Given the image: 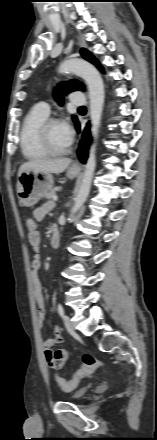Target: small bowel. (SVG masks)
<instances>
[{
	"instance_id": "small-bowel-1",
	"label": "small bowel",
	"mask_w": 157,
	"mask_h": 440,
	"mask_svg": "<svg viewBox=\"0 0 157 440\" xmlns=\"http://www.w3.org/2000/svg\"><path fill=\"white\" fill-rule=\"evenodd\" d=\"M52 208H53V203L51 202L44 203L43 205L37 207L33 214L36 221L43 220L44 217L47 215V213L52 210ZM28 241L34 252L32 259L33 271L31 277L33 282L35 301L38 310L37 324L38 327L42 329L44 327V322H45L46 305L43 294V287L38 273L39 268L41 266V257L39 254V246L41 242L40 234L37 231L33 233H29ZM53 331L55 337L52 339L45 340L43 342V348L48 366L56 371H60L65 367L69 355L67 350L65 349H61V355L59 357L53 354L52 347L57 344H61L63 342L61 328L58 325H55Z\"/></svg>"
}]
</instances>
